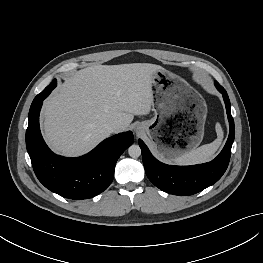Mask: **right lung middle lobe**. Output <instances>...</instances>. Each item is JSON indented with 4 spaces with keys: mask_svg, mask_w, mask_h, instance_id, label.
Listing matches in <instances>:
<instances>
[{
    "mask_svg": "<svg viewBox=\"0 0 263 263\" xmlns=\"http://www.w3.org/2000/svg\"><path fill=\"white\" fill-rule=\"evenodd\" d=\"M54 82H56V80H53L51 83H50V85L49 86H51ZM48 87V86H47Z\"/></svg>",
    "mask_w": 263,
    "mask_h": 263,
    "instance_id": "dd1d6c3e",
    "label": "right lung middle lobe"
}]
</instances>
